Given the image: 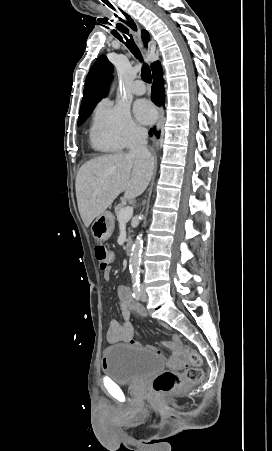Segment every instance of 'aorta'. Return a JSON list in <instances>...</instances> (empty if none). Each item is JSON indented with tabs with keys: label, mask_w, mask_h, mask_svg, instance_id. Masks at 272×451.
I'll return each mask as SVG.
<instances>
[{
	"label": "aorta",
	"mask_w": 272,
	"mask_h": 451,
	"mask_svg": "<svg viewBox=\"0 0 272 451\" xmlns=\"http://www.w3.org/2000/svg\"><path fill=\"white\" fill-rule=\"evenodd\" d=\"M142 247H143L142 233H139V235H137L132 245L129 259V269L132 281H139Z\"/></svg>",
	"instance_id": "aorta-1"
}]
</instances>
